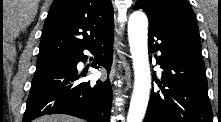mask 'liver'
<instances>
[{"mask_svg": "<svg viewBox=\"0 0 221 122\" xmlns=\"http://www.w3.org/2000/svg\"><path fill=\"white\" fill-rule=\"evenodd\" d=\"M35 122H80L79 119L68 115L56 114V115H46L37 118Z\"/></svg>", "mask_w": 221, "mask_h": 122, "instance_id": "liver-1", "label": "liver"}]
</instances>
